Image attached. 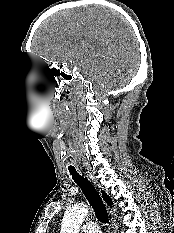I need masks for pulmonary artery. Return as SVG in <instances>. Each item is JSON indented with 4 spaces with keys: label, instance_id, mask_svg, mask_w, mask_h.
I'll return each mask as SVG.
<instances>
[{
    "label": "pulmonary artery",
    "instance_id": "obj_1",
    "mask_svg": "<svg viewBox=\"0 0 174 233\" xmlns=\"http://www.w3.org/2000/svg\"><path fill=\"white\" fill-rule=\"evenodd\" d=\"M81 233H101V231L95 222L90 221L81 227Z\"/></svg>",
    "mask_w": 174,
    "mask_h": 233
}]
</instances>
